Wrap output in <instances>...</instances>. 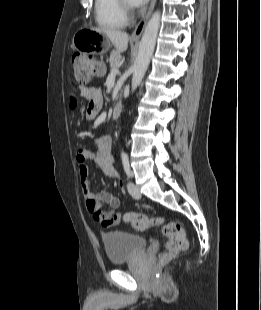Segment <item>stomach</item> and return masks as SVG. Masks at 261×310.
<instances>
[{"mask_svg":"<svg viewBox=\"0 0 261 310\" xmlns=\"http://www.w3.org/2000/svg\"><path fill=\"white\" fill-rule=\"evenodd\" d=\"M73 46L80 51H92L103 54L110 47V40L104 33H99L91 29H82L75 33Z\"/></svg>","mask_w":261,"mask_h":310,"instance_id":"obj_1","label":"stomach"}]
</instances>
